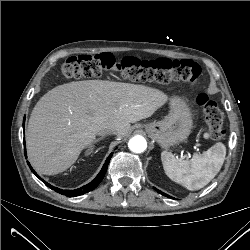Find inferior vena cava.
<instances>
[{
  "instance_id": "1",
  "label": "inferior vena cava",
  "mask_w": 250,
  "mask_h": 250,
  "mask_svg": "<svg viewBox=\"0 0 250 250\" xmlns=\"http://www.w3.org/2000/svg\"><path fill=\"white\" fill-rule=\"evenodd\" d=\"M115 133H116L115 128L110 127V128L105 129V130L99 131L98 135L105 136V135H110V134H115Z\"/></svg>"
}]
</instances>
